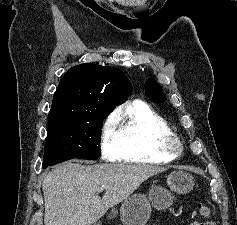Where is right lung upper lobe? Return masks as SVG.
I'll use <instances>...</instances> for the list:
<instances>
[{
  "mask_svg": "<svg viewBox=\"0 0 237 225\" xmlns=\"http://www.w3.org/2000/svg\"><path fill=\"white\" fill-rule=\"evenodd\" d=\"M132 90L127 76L116 67L81 64L70 68L54 93L49 119H92L112 112Z\"/></svg>",
  "mask_w": 237,
  "mask_h": 225,
  "instance_id": "right-lung-upper-lobe-1",
  "label": "right lung upper lobe"
}]
</instances>
